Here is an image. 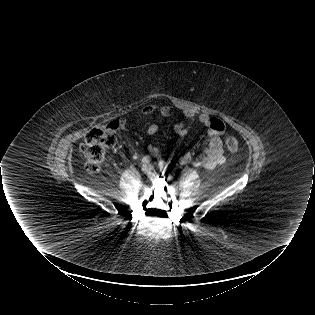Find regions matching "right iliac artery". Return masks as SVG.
<instances>
[{"label":"right iliac artery","instance_id":"1","mask_svg":"<svg viewBox=\"0 0 315 315\" xmlns=\"http://www.w3.org/2000/svg\"><path fill=\"white\" fill-rule=\"evenodd\" d=\"M151 161V158L149 157V156H145V157H143V159H142V162L143 163H149Z\"/></svg>","mask_w":315,"mask_h":315}]
</instances>
